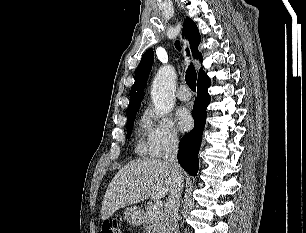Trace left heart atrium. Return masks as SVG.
Masks as SVG:
<instances>
[{"mask_svg": "<svg viewBox=\"0 0 306 233\" xmlns=\"http://www.w3.org/2000/svg\"><path fill=\"white\" fill-rule=\"evenodd\" d=\"M176 119L180 130L187 131L192 126V117L186 109H180L176 114Z\"/></svg>", "mask_w": 306, "mask_h": 233, "instance_id": "obj_1", "label": "left heart atrium"}]
</instances>
